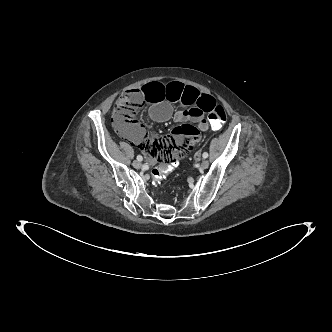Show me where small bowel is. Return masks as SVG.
<instances>
[{
    "label": "small bowel",
    "mask_w": 332,
    "mask_h": 332,
    "mask_svg": "<svg viewBox=\"0 0 332 332\" xmlns=\"http://www.w3.org/2000/svg\"><path fill=\"white\" fill-rule=\"evenodd\" d=\"M140 94L142 104L153 120L165 122L173 119L181 124L169 137L162 139L146 134L144 127L139 123H134L130 129H116L120 135L141 148L152 165L160 161L167 162L171 157L182 160L189 150L200 143V131L209 129L204 114L215 104V99L179 81H171L164 85L155 79L144 81L140 87ZM174 103H180L185 108L174 111ZM195 158L199 159V154H196Z\"/></svg>",
    "instance_id": "small-bowel-1"
}]
</instances>
